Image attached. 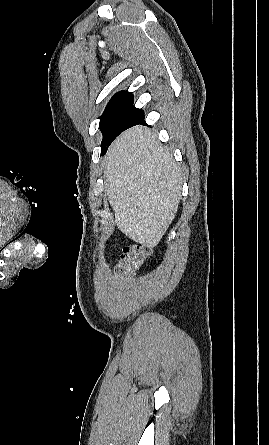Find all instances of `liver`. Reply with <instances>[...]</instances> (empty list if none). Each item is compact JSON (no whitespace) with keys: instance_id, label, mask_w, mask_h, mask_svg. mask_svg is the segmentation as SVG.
Returning <instances> with one entry per match:
<instances>
[{"instance_id":"6515ba94","label":"liver","mask_w":269,"mask_h":445,"mask_svg":"<svg viewBox=\"0 0 269 445\" xmlns=\"http://www.w3.org/2000/svg\"><path fill=\"white\" fill-rule=\"evenodd\" d=\"M105 189L118 229L143 246H157L180 201L181 169L142 126L123 132L109 147Z\"/></svg>"}]
</instances>
